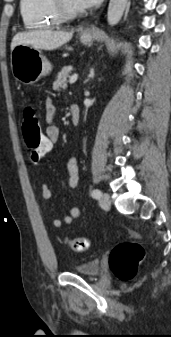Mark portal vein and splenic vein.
I'll use <instances>...</instances> for the list:
<instances>
[{"mask_svg":"<svg viewBox=\"0 0 171 337\" xmlns=\"http://www.w3.org/2000/svg\"><path fill=\"white\" fill-rule=\"evenodd\" d=\"M77 79H78V74H73L69 79V83L73 84L77 81Z\"/></svg>","mask_w":171,"mask_h":337,"instance_id":"18ae733b","label":"portal vein and splenic vein"}]
</instances>
